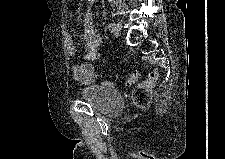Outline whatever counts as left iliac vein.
<instances>
[{
    "label": "left iliac vein",
    "instance_id": "4c4485c4",
    "mask_svg": "<svg viewBox=\"0 0 225 159\" xmlns=\"http://www.w3.org/2000/svg\"><path fill=\"white\" fill-rule=\"evenodd\" d=\"M120 32H121V25L120 24H115L114 25V28L112 30V33L118 37L120 35Z\"/></svg>",
    "mask_w": 225,
    "mask_h": 159
}]
</instances>
